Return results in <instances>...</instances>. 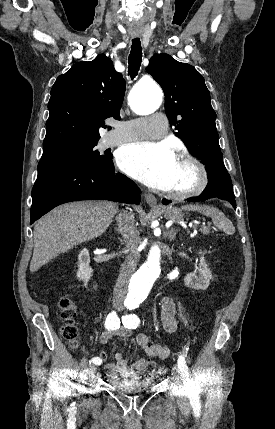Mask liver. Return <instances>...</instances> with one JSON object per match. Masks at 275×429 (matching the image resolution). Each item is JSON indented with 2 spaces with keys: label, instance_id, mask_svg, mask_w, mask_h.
Returning <instances> with one entry per match:
<instances>
[{
  "label": "liver",
  "instance_id": "6515ba94",
  "mask_svg": "<svg viewBox=\"0 0 275 429\" xmlns=\"http://www.w3.org/2000/svg\"><path fill=\"white\" fill-rule=\"evenodd\" d=\"M118 206L108 201L76 202L59 206L34 226L33 273L83 242L97 238L110 225Z\"/></svg>",
  "mask_w": 275,
  "mask_h": 429
}]
</instances>
